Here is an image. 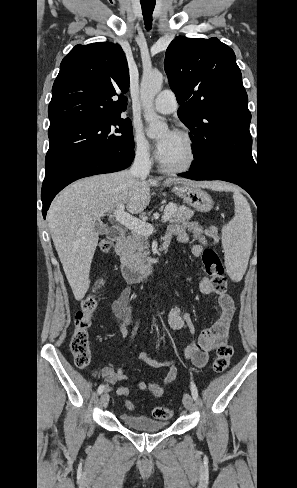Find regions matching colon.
<instances>
[{
    "mask_svg": "<svg viewBox=\"0 0 297 488\" xmlns=\"http://www.w3.org/2000/svg\"><path fill=\"white\" fill-rule=\"evenodd\" d=\"M99 249L102 253H107L111 249V244L104 241L100 243ZM203 263L205 271L210 277L213 290L219 294L225 293L227 290V279L218 254L212 249L204 250ZM100 285L101 281L99 280L95 285V289ZM95 289L93 293L81 302V306L74 316V332L71 338L70 348L74 356L75 364L79 368H85L90 363V336L88 330L91 326L93 313L97 307V300L94 294ZM232 352V347L228 344H223L218 347L213 363V370L216 373H222L228 368ZM125 404L129 409L134 408L133 404L128 400ZM152 414L155 419L167 420L173 416V410L166 407H156Z\"/></svg>",
    "mask_w": 297,
    "mask_h": 488,
    "instance_id": "5ec220e1",
    "label": "colon"
}]
</instances>
